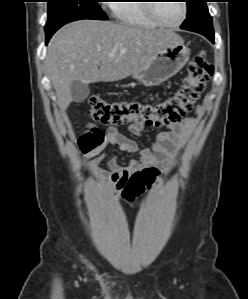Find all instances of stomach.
Masks as SVG:
<instances>
[{
  "label": "stomach",
  "mask_w": 248,
  "mask_h": 299,
  "mask_svg": "<svg viewBox=\"0 0 248 299\" xmlns=\"http://www.w3.org/2000/svg\"><path fill=\"white\" fill-rule=\"evenodd\" d=\"M190 49L181 43L164 48L144 69L133 78L144 86H156L176 75L188 62Z\"/></svg>",
  "instance_id": "obj_1"
}]
</instances>
